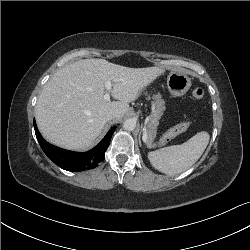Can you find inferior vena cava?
Instances as JSON below:
<instances>
[{
    "label": "inferior vena cava",
    "mask_w": 250,
    "mask_h": 250,
    "mask_svg": "<svg viewBox=\"0 0 250 250\" xmlns=\"http://www.w3.org/2000/svg\"><path fill=\"white\" fill-rule=\"evenodd\" d=\"M116 116L117 115H116V113L114 111H110V112L107 113L106 119L107 120H112V119L116 118Z\"/></svg>",
    "instance_id": "602c4592"
}]
</instances>
